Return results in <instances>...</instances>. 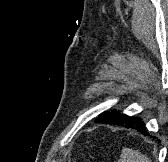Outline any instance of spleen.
I'll use <instances>...</instances> for the list:
<instances>
[{"label": "spleen", "mask_w": 168, "mask_h": 162, "mask_svg": "<svg viewBox=\"0 0 168 162\" xmlns=\"http://www.w3.org/2000/svg\"><path fill=\"white\" fill-rule=\"evenodd\" d=\"M118 162H152L146 155L137 150L124 147Z\"/></svg>", "instance_id": "spleen-1"}]
</instances>
